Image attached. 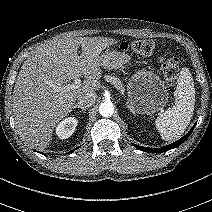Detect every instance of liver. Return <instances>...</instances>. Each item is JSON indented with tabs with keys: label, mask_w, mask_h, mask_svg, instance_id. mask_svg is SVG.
Segmentation results:
<instances>
[{
	"label": "liver",
	"mask_w": 212,
	"mask_h": 212,
	"mask_svg": "<svg viewBox=\"0 0 212 212\" xmlns=\"http://www.w3.org/2000/svg\"><path fill=\"white\" fill-rule=\"evenodd\" d=\"M115 43L107 37H61L28 55L16 80L12 104L16 126L27 142L47 147L56 124L72 111L78 96L99 90L100 54ZM81 76L85 80L80 87L62 90L64 84Z\"/></svg>",
	"instance_id": "obj_1"
}]
</instances>
